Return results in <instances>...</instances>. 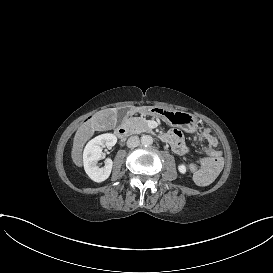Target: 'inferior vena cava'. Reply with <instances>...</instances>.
<instances>
[{"mask_svg":"<svg viewBox=\"0 0 273 273\" xmlns=\"http://www.w3.org/2000/svg\"><path fill=\"white\" fill-rule=\"evenodd\" d=\"M140 144V139L138 136H130L127 140V147L135 148Z\"/></svg>","mask_w":273,"mask_h":273,"instance_id":"602c4592","label":"inferior vena cava"}]
</instances>
